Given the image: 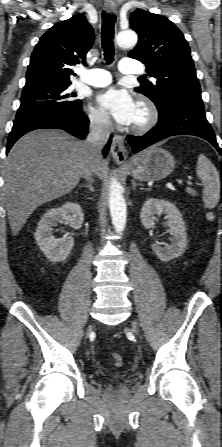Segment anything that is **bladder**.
Returning a JSON list of instances; mask_svg holds the SVG:
<instances>
[{"label": "bladder", "instance_id": "obj_1", "mask_svg": "<svg viewBox=\"0 0 222 447\" xmlns=\"http://www.w3.org/2000/svg\"><path fill=\"white\" fill-rule=\"evenodd\" d=\"M109 379L113 384L118 385L127 379V374L124 372H115L110 374Z\"/></svg>", "mask_w": 222, "mask_h": 447}]
</instances>
